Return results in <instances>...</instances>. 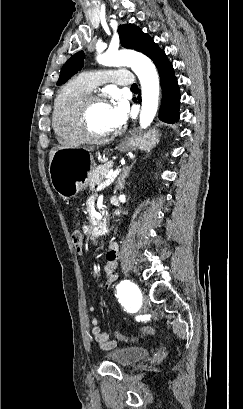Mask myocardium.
I'll list each match as a JSON object with an SVG mask.
<instances>
[{"mask_svg":"<svg viewBox=\"0 0 243 409\" xmlns=\"http://www.w3.org/2000/svg\"><path fill=\"white\" fill-rule=\"evenodd\" d=\"M96 101H105L106 95L100 92H88L84 94L76 103L74 109V119L76 127L86 142H101L108 138L109 133L97 135L90 131L88 125V110L90 105Z\"/></svg>","mask_w":243,"mask_h":409,"instance_id":"obj_1","label":"myocardium"}]
</instances>
